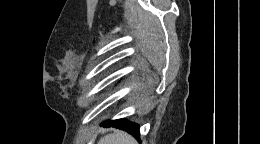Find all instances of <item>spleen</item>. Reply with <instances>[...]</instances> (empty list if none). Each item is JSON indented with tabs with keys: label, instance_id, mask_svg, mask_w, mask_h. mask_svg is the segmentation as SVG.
<instances>
[{
	"label": "spleen",
	"instance_id": "obj_1",
	"mask_svg": "<svg viewBox=\"0 0 260 144\" xmlns=\"http://www.w3.org/2000/svg\"><path fill=\"white\" fill-rule=\"evenodd\" d=\"M99 144H136V141L127 133L118 131L114 134H109L103 137L99 141Z\"/></svg>",
	"mask_w": 260,
	"mask_h": 144
}]
</instances>
